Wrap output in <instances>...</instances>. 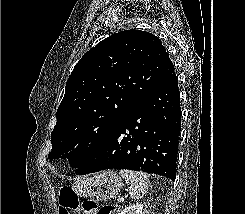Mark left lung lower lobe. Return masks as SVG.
I'll use <instances>...</instances> for the list:
<instances>
[{"mask_svg":"<svg viewBox=\"0 0 245 214\" xmlns=\"http://www.w3.org/2000/svg\"><path fill=\"white\" fill-rule=\"evenodd\" d=\"M180 130V94L173 72L88 155L75 173L129 169L174 181Z\"/></svg>","mask_w":245,"mask_h":214,"instance_id":"left-lung-lower-lobe-1","label":"left lung lower lobe"}]
</instances>
